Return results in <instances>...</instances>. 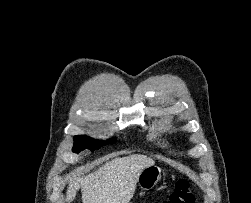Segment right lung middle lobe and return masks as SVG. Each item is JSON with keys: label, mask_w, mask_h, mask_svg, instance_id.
Wrapping results in <instances>:
<instances>
[{"label": "right lung middle lobe", "mask_w": 251, "mask_h": 203, "mask_svg": "<svg viewBox=\"0 0 251 203\" xmlns=\"http://www.w3.org/2000/svg\"><path fill=\"white\" fill-rule=\"evenodd\" d=\"M116 138L109 139L108 141H97L87 136L77 135L74 137V145L73 152L79 153L82 150L90 149L94 151V149L101 147L104 144L115 143Z\"/></svg>", "instance_id": "right-lung-middle-lobe-1"}]
</instances>
